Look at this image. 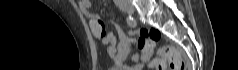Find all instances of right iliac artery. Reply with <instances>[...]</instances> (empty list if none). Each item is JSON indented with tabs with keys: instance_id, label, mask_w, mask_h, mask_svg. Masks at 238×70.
Segmentation results:
<instances>
[{
	"instance_id": "obj_1",
	"label": "right iliac artery",
	"mask_w": 238,
	"mask_h": 70,
	"mask_svg": "<svg viewBox=\"0 0 238 70\" xmlns=\"http://www.w3.org/2000/svg\"><path fill=\"white\" fill-rule=\"evenodd\" d=\"M126 21H127V24L130 26V27H135L136 26V21L135 19L132 17V16H128L126 18Z\"/></svg>"
}]
</instances>
